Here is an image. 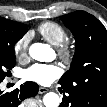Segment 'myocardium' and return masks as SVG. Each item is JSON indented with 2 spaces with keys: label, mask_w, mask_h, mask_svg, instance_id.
I'll return each mask as SVG.
<instances>
[{
  "label": "myocardium",
  "mask_w": 107,
  "mask_h": 107,
  "mask_svg": "<svg viewBox=\"0 0 107 107\" xmlns=\"http://www.w3.org/2000/svg\"><path fill=\"white\" fill-rule=\"evenodd\" d=\"M57 54L65 64H70L74 56V48L70 42L64 41L57 46Z\"/></svg>",
  "instance_id": "myocardium-1"
}]
</instances>
